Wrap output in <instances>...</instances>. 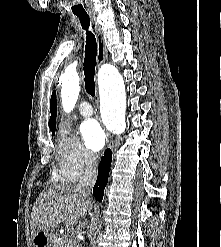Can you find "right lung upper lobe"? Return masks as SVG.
<instances>
[{"label":"right lung upper lobe","mask_w":221,"mask_h":247,"mask_svg":"<svg viewBox=\"0 0 221 247\" xmlns=\"http://www.w3.org/2000/svg\"><path fill=\"white\" fill-rule=\"evenodd\" d=\"M57 102H56V92L53 91L52 96H51V100H50V113H51V117L49 120V127L50 130L52 131V133H55V129H56V116H57Z\"/></svg>","instance_id":"right-lung-upper-lobe-1"}]
</instances>
